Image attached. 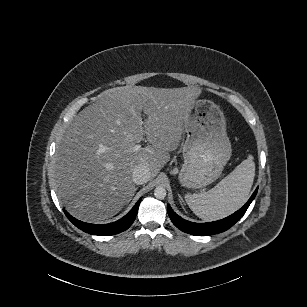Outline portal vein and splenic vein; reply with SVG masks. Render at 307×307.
<instances>
[{
	"label": "portal vein and splenic vein",
	"mask_w": 307,
	"mask_h": 307,
	"mask_svg": "<svg viewBox=\"0 0 307 307\" xmlns=\"http://www.w3.org/2000/svg\"><path fill=\"white\" fill-rule=\"evenodd\" d=\"M140 149V146L139 145H134L133 146V148H132V150H133V152H136V151H138ZM97 152H101V150L99 149V150H97Z\"/></svg>",
	"instance_id": "obj_1"
}]
</instances>
